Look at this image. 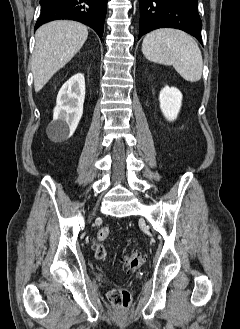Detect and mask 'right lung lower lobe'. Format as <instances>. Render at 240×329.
Segmentation results:
<instances>
[{
  "mask_svg": "<svg viewBox=\"0 0 240 329\" xmlns=\"http://www.w3.org/2000/svg\"><path fill=\"white\" fill-rule=\"evenodd\" d=\"M40 5L35 29L52 20L69 19L90 26L102 39L107 0H40Z\"/></svg>",
  "mask_w": 240,
  "mask_h": 329,
  "instance_id": "right-lung-lower-lobe-1",
  "label": "right lung lower lobe"
}]
</instances>
